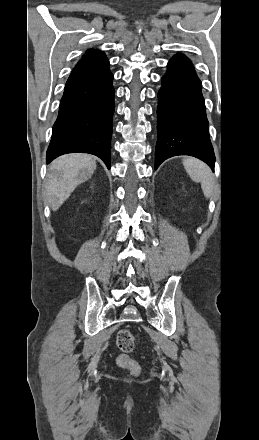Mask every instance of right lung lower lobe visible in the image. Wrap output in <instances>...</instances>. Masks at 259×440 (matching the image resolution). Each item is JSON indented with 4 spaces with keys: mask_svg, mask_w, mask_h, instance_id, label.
<instances>
[{
    "mask_svg": "<svg viewBox=\"0 0 259 440\" xmlns=\"http://www.w3.org/2000/svg\"><path fill=\"white\" fill-rule=\"evenodd\" d=\"M113 74L105 54L81 59L64 89L46 162L72 152L90 153L110 169Z\"/></svg>",
    "mask_w": 259,
    "mask_h": 440,
    "instance_id": "1",
    "label": "right lung lower lobe"
}]
</instances>
